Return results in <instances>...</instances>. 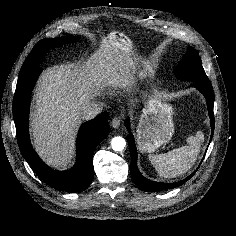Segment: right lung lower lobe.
<instances>
[{
  "mask_svg": "<svg viewBox=\"0 0 236 236\" xmlns=\"http://www.w3.org/2000/svg\"><path fill=\"white\" fill-rule=\"evenodd\" d=\"M41 71L39 67L32 68L19 75L17 81L13 99V117L20 151L33 171L47 185L70 193L82 192L93 180V152L109 134L108 114L103 112L81 126L76 141L77 160L72 169L63 172L51 169L33 150L29 137L31 92Z\"/></svg>",
  "mask_w": 236,
  "mask_h": 236,
  "instance_id": "right-lung-lower-lobe-1",
  "label": "right lung lower lobe"
}]
</instances>
